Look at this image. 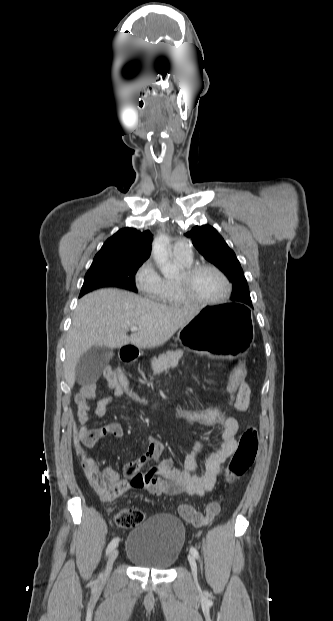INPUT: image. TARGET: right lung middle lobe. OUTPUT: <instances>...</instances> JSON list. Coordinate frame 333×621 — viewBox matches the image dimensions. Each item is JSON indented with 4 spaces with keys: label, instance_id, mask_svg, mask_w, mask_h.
I'll return each mask as SVG.
<instances>
[{
    "label": "right lung middle lobe",
    "instance_id": "obj_1",
    "mask_svg": "<svg viewBox=\"0 0 333 621\" xmlns=\"http://www.w3.org/2000/svg\"><path fill=\"white\" fill-rule=\"evenodd\" d=\"M142 264L139 261L93 262L85 275L80 297L94 289L108 286L137 292L133 276Z\"/></svg>",
    "mask_w": 333,
    "mask_h": 621
}]
</instances>
